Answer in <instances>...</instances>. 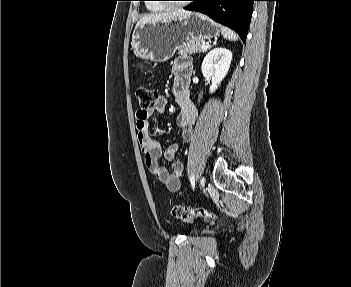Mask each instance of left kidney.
<instances>
[{
    "label": "left kidney",
    "instance_id": "1",
    "mask_svg": "<svg viewBox=\"0 0 351 287\" xmlns=\"http://www.w3.org/2000/svg\"><path fill=\"white\" fill-rule=\"evenodd\" d=\"M232 60V52L226 48L212 49L203 59L201 70L203 76L210 79V93L215 92L226 76Z\"/></svg>",
    "mask_w": 351,
    "mask_h": 287
}]
</instances>
